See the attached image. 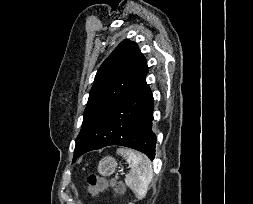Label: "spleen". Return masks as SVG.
I'll list each match as a JSON object with an SVG mask.
<instances>
[{
    "label": "spleen",
    "instance_id": "obj_1",
    "mask_svg": "<svg viewBox=\"0 0 253 204\" xmlns=\"http://www.w3.org/2000/svg\"><path fill=\"white\" fill-rule=\"evenodd\" d=\"M131 167V171L126 175V185L134 191L138 199L145 197L148 186L153 178V169L150 159L132 149L122 148L118 150Z\"/></svg>",
    "mask_w": 253,
    "mask_h": 204
}]
</instances>
